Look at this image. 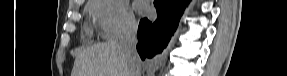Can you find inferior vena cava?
<instances>
[{"label":"inferior vena cava","instance_id":"602c4592","mask_svg":"<svg viewBox=\"0 0 287 76\" xmlns=\"http://www.w3.org/2000/svg\"><path fill=\"white\" fill-rule=\"evenodd\" d=\"M137 23L131 20L127 23L120 37L123 55L129 64V76H141V59L137 52Z\"/></svg>","mask_w":287,"mask_h":76}]
</instances>
